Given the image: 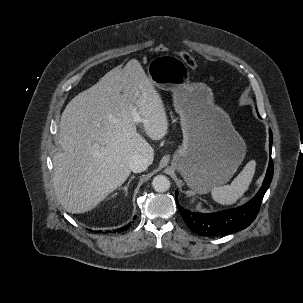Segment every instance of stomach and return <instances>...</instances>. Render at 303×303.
<instances>
[{
	"label": "stomach",
	"instance_id": "0dacf381",
	"mask_svg": "<svg viewBox=\"0 0 303 303\" xmlns=\"http://www.w3.org/2000/svg\"><path fill=\"white\" fill-rule=\"evenodd\" d=\"M147 71L154 86L173 92L180 115L183 143L174 154L173 167L198 193L227 183L246 155V144L229 115L214 104L212 90L190 83L187 66L175 56L155 57Z\"/></svg>",
	"mask_w": 303,
	"mask_h": 303
}]
</instances>
